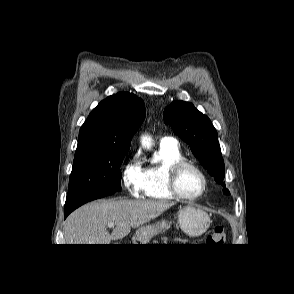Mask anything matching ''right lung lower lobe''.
<instances>
[{
  "instance_id": "98d812e1",
  "label": "right lung lower lobe",
  "mask_w": 294,
  "mask_h": 294,
  "mask_svg": "<svg viewBox=\"0 0 294 294\" xmlns=\"http://www.w3.org/2000/svg\"><path fill=\"white\" fill-rule=\"evenodd\" d=\"M113 194V193H111ZM111 194H104V195H101V196H95V197H91V198H88V199H85L81 202H77V203H74L70 206H67L65 207V218L73 211L75 210L76 208H78L79 206L89 202V201H92L94 199H98V198H102V197H105V196H108V195H111Z\"/></svg>"
}]
</instances>
